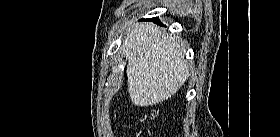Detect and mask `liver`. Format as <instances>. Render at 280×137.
<instances>
[{
  "instance_id": "1",
  "label": "liver",
  "mask_w": 280,
  "mask_h": 137,
  "mask_svg": "<svg viewBox=\"0 0 280 137\" xmlns=\"http://www.w3.org/2000/svg\"><path fill=\"white\" fill-rule=\"evenodd\" d=\"M131 102L140 107L167 100L189 76L177 38L152 23L134 25L121 46Z\"/></svg>"
}]
</instances>
